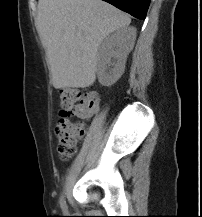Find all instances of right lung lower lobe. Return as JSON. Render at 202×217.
I'll list each match as a JSON object with an SVG mask.
<instances>
[{"instance_id": "right-lung-lower-lobe-1", "label": "right lung lower lobe", "mask_w": 202, "mask_h": 217, "mask_svg": "<svg viewBox=\"0 0 202 217\" xmlns=\"http://www.w3.org/2000/svg\"><path fill=\"white\" fill-rule=\"evenodd\" d=\"M115 7L144 20L150 4V0H104Z\"/></svg>"}]
</instances>
